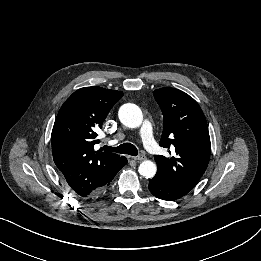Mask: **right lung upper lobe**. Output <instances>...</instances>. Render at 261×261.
Segmentation results:
<instances>
[{
    "instance_id": "right-lung-upper-lobe-1",
    "label": "right lung upper lobe",
    "mask_w": 261,
    "mask_h": 261,
    "mask_svg": "<svg viewBox=\"0 0 261 261\" xmlns=\"http://www.w3.org/2000/svg\"><path fill=\"white\" fill-rule=\"evenodd\" d=\"M120 91L85 87L75 91L62 105L52 134L53 159L69 186L82 198L94 196L112 178L125 157L95 151L98 128Z\"/></svg>"
}]
</instances>
